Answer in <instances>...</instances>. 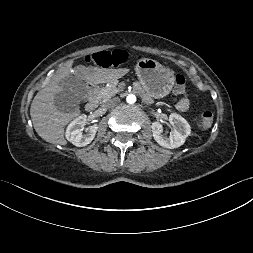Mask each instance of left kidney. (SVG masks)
<instances>
[{
    "label": "left kidney",
    "mask_w": 253,
    "mask_h": 253,
    "mask_svg": "<svg viewBox=\"0 0 253 253\" xmlns=\"http://www.w3.org/2000/svg\"><path fill=\"white\" fill-rule=\"evenodd\" d=\"M169 122L173 126L170 136L162 134V125L159 122L152 123V133L155 141L162 147L174 149L184 144L186 138L191 133L189 123L178 114H171Z\"/></svg>",
    "instance_id": "1"
}]
</instances>
